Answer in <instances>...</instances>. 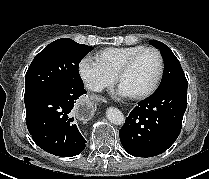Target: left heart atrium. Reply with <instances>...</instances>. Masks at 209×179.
<instances>
[{
	"label": "left heart atrium",
	"mask_w": 209,
	"mask_h": 179,
	"mask_svg": "<svg viewBox=\"0 0 209 179\" xmlns=\"http://www.w3.org/2000/svg\"><path fill=\"white\" fill-rule=\"evenodd\" d=\"M116 95L121 96V97H126L130 96L123 88L119 86V88L116 91Z\"/></svg>",
	"instance_id": "1"
}]
</instances>
